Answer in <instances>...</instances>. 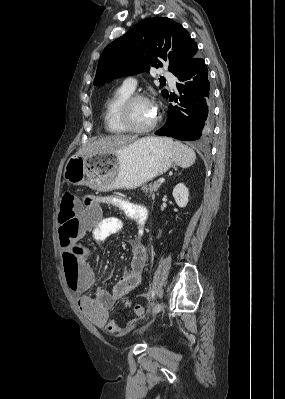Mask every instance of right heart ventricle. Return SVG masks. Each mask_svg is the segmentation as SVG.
<instances>
[{
    "label": "right heart ventricle",
    "mask_w": 285,
    "mask_h": 399,
    "mask_svg": "<svg viewBox=\"0 0 285 399\" xmlns=\"http://www.w3.org/2000/svg\"><path fill=\"white\" fill-rule=\"evenodd\" d=\"M131 94V91L121 86L108 98L105 104L104 123L106 130L110 133L125 134L129 132L121 124L120 108Z\"/></svg>",
    "instance_id": "right-heart-ventricle-1"
}]
</instances>
